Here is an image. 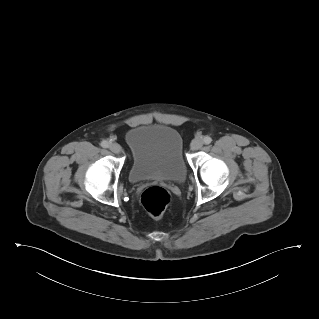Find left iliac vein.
Here are the masks:
<instances>
[{
	"label": "left iliac vein",
	"mask_w": 319,
	"mask_h": 319,
	"mask_svg": "<svg viewBox=\"0 0 319 319\" xmlns=\"http://www.w3.org/2000/svg\"><path fill=\"white\" fill-rule=\"evenodd\" d=\"M203 146V141L200 138H196L191 142L192 150H199Z\"/></svg>",
	"instance_id": "1"
}]
</instances>
